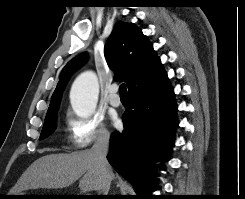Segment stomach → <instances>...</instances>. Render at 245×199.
<instances>
[{"label":"stomach","instance_id":"1","mask_svg":"<svg viewBox=\"0 0 245 199\" xmlns=\"http://www.w3.org/2000/svg\"><path fill=\"white\" fill-rule=\"evenodd\" d=\"M12 195H30L26 193H17V194H12ZM16 199H26L27 196H14Z\"/></svg>","mask_w":245,"mask_h":199}]
</instances>
